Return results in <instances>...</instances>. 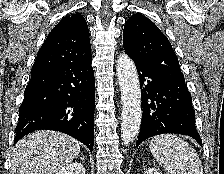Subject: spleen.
<instances>
[{"label":"spleen","mask_w":224,"mask_h":174,"mask_svg":"<svg viewBox=\"0 0 224 174\" xmlns=\"http://www.w3.org/2000/svg\"><path fill=\"white\" fill-rule=\"evenodd\" d=\"M150 151L169 174H203L201 160L195 149L174 134H162L151 139Z\"/></svg>","instance_id":"1"}]
</instances>
